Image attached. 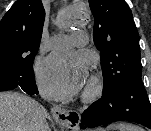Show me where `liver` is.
Wrapping results in <instances>:
<instances>
[{
  "label": "liver",
  "mask_w": 151,
  "mask_h": 131,
  "mask_svg": "<svg viewBox=\"0 0 151 131\" xmlns=\"http://www.w3.org/2000/svg\"><path fill=\"white\" fill-rule=\"evenodd\" d=\"M46 109L29 96L0 92V131H50Z\"/></svg>",
  "instance_id": "obj_1"
}]
</instances>
